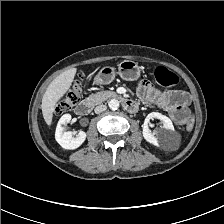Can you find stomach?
I'll return each instance as SVG.
<instances>
[{"mask_svg":"<svg viewBox=\"0 0 224 224\" xmlns=\"http://www.w3.org/2000/svg\"><path fill=\"white\" fill-rule=\"evenodd\" d=\"M119 75L123 80L136 81L141 75L140 67L137 62L124 60L119 63L118 68L111 66L103 67L96 75L94 82L98 85L110 84Z\"/></svg>","mask_w":224,"mask_h":224,"instance_id":"stomach-1","label":"stomach"}]
</instances>
